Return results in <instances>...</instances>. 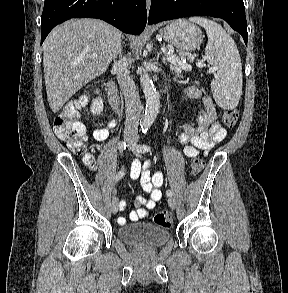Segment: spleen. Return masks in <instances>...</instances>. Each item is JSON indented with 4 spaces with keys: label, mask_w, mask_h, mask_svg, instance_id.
<instances>
[{
    "label": "spleen",
    "mask_w": 288,
    "mask_h": 293,
    "mask_svg": "<svg viewBox=\"0 0 288 293\" xmlns=\"http://www.w3.org/2000/svg\"><path fill=\"white\" fill-rule=\"evenodd\" d=\"M191 22L203 26L208 36L205 55L217 75L211 82L213 97L224 109L238 105L242 94V63L237 46L223 27L205 17H191Z\"/></svg>",
    "instance_id": "1"
}]
</instances>
